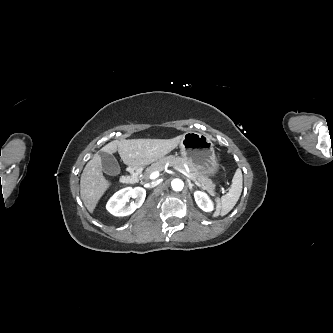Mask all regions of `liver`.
Returning <instances> with one entry per match:
<instances>
[{"mask_svg":"<svg viewBox=\"0 0 333 333\" xmlns=\"http://www.w3.org/2000/svg\"><path fill=\"white\" fill-rule=\"evenodd\" d=\"M182 137L183 135L172 139L114 140L100 151L109 154L118 151L126 165L144 167L170 153L180 144ZM110 185V181L103 176L101 158L99 154H95L86 164L80 179L81 199L90 213L94 212Z\"/></svg>","mask_w":333,"mask_h":333,"instance_id":"6515ba94","label":"liver"}]
</instances>
